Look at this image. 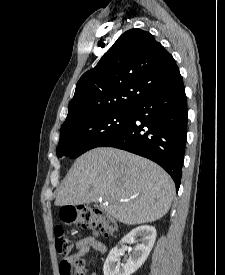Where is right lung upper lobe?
<instances>
[{
	"label": "right lung upper lobe",
	"instance_id": "cb5924a9",
	"mask_svg": "<svg viewBox=\"0 0 225 275\" xmlns=\"http://www.w3.org/2000/svg\"><path fill=\"white\" fill-rule=\"evenodd\" d=\"M181 82L174 58L153 35L128 30L81 76L62 127L102 112L131 110L148 96Z\"/></svg>",
	"mask_w": 225,
	"mask_h": 275
}]
</instances>
